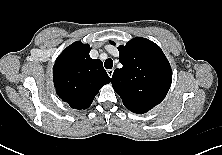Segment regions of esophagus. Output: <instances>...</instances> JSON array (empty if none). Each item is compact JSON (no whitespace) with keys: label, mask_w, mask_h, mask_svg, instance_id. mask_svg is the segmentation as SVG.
<instances>
[{"label":"esophagus","mask_w":222,"mask_h":155,"mask_svg":"<svg viewBox=\"0 0 222 155\" xmlns=\"http://www.w3.org/2000/svg\"><path fill=\"white\" fill-rule=\"evenodd\" d=\"M113 73H114L113 69H108L107 70V74L109 75L110 78L112 77Z\"/></svg>","instance_id":"1"}]
</instances>
